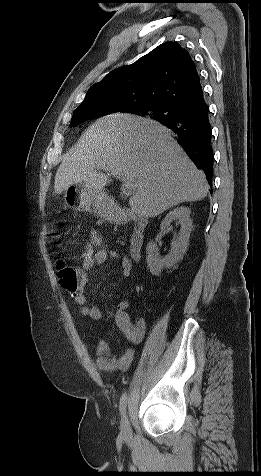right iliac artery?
I'll return each instance as SVG.
<instances>
[{
	"label": "right iliac artery",
	"instance_id": "1",
	"mask_svg": "<svg viewBox=\"0 0 261 476\" xmlns=\"http://www.w3.org/2000/svg\"><path fill=\"white\" fill-rule=\"evenodd\" d=\"M126 406H127V395H126V393H123L122 397L120 399V407H119L120 413L122 415H124L125 412H126Z\"/></svg>",
	"mask_w": 261,
	"mask_h": 476
}]
</instances>
